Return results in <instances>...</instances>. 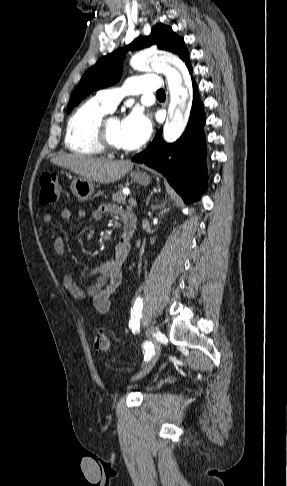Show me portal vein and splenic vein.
Listing matches in <instances>:
<instances>
[{"label":"portal vein and splenic vein","instance_id":"portal-vein-and-splenic-vein-1","mask_svg":"<svg viewBox=\"0 0 287 486\" xmlns=\"http://www.w3.org/2000/svg\"><path fill=\"white\" fill-rule=\"evenodd\" d=\"M128 203H129L130 206H136L137 205L136 200L132 197H130L128 199Z\"/></svg>","mask_w":287,"mask_h":486}]
</instances>
